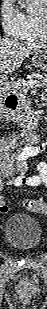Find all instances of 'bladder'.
<instances>
[{
	"label": "bladder",
	"mask_w": 47,
	"mask_h": 309,
	"mask_svg": "<svg viewBox=\"0 0 47 309\" xmlns=\"http://www.w3.org/2000/svg\"><path fill=\"white\" fill-rule=\"evenodd\" d=\"M5 242L19 251L35 250L42 242V229L38 221L24 213L11 215L4 229Z\"/></svg>",
	"instance_id": "31cf9c89"
}]
</instances>
